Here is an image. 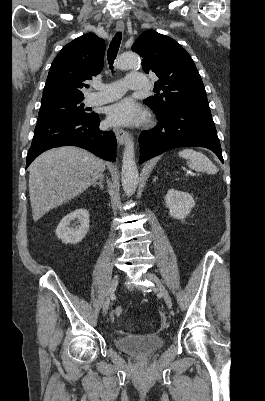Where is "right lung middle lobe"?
<instances>
[{"label":"right lung middle lobe","mask_w":265,"mask_h":401,"mask_svg":"<svg viewBox=\"0 0 265 401\" xmlns=\"http://www.w3.org/2000/svg\"><path fill=\"white\" fill-rule=\"evenodd\" d=\"M83 99L84 98L58 100L41 104L37 121L49 117L82 118L90 116L89 113L85 112L86 109H84V104L82 103Z\"/></svg>","instance_id":"dd1d6c3e"}]
</instances>
